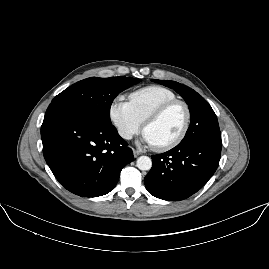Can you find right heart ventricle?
I'll return each instance as SVG.
<instances>
[{"label":"right heart ventricle","mask_w":269,"mask_h":269,"mask_svg":"<svg viewBox=\"0 0 269 269\" xmlns=\"http://www.w3.org/2000/svg\"><path fill=\"white\" fill-rule=\"evenodd\" d=\"M176 99L173 91L161 87L150 86L130 94V105L136 117L144 123L147 115L160 105Z\"/></svg>","instance_id":"obj_1"}]
</instances>
